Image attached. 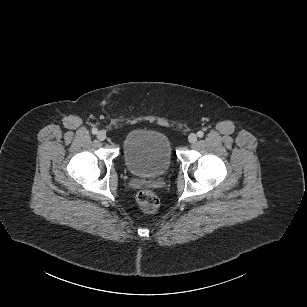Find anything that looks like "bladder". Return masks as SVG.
<instances>
[{
    "instance_id": "1",
    "label": "bladder",
    "mask_w": 307,
    "mask_h": 307,
    "mask_svg": "<svg viewBox=\"0 0 307 307\" xmlns=\"http://www.w3.org/2000/svg\"><path fill=\"white\" fill-rule=\"evenodd\" d=\"M123 157L127 170L138 177L164 174L172 161V144L160 131L137 129L123 142Z\"/></svg>"
}]
</instances>
